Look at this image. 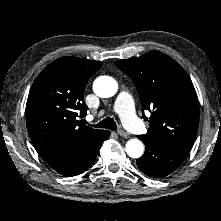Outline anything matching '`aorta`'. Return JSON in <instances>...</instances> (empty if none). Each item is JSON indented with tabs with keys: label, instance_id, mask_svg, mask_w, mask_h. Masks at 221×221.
Returning <instances> with one entry per match:
<instances>
[{
	"label": "aorta",
	"instance_id": "1",
	"mask_svg": "<svg viewBox=\"0 0 221 221\" xmlns=\"http://www.w3.org/2000/svg\"><path fill=\"white\" fill-rule=\"evenodd\" d=\"M118 84L115 79L109 76L98 77L93 84L94 93L101 98H109L117 93ZM144 145L138 139H130L126 143V153L132 158H139L143 155Z\"/></svg>",
	"mask_w": 221,
	"mask_h": 221
}]
</instances>
